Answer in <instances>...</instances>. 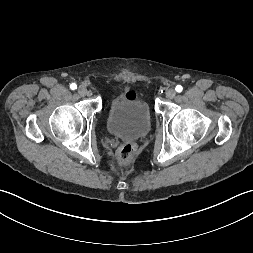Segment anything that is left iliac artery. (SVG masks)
<instances>
[{
	"label": "left iliac artery",
	"mask_w": 253,
	"mask_h": 253,
	"mask_svg": "<svg viewBox=\"0 0 253 253\" xmlns=\"http://www.w3.org/2000/svg\"><path fill=\"white\" fill-rule=\"evenodd\" d=\"M175 90H176L178 93H180V92H182L183 87H182L181 85H177L176 88H175Z\"/></svg>",
	"instance_id": "left-iliac-artery-1"
}]
</instances>
